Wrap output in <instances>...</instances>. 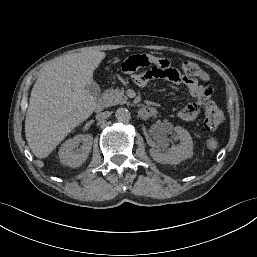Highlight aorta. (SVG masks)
Listing matches in <instances>:
<instances>
[{
	"label": "aorta",
	"mask_w": 257,
	"mask_h": 257,
	"mask_svg": "<svg viewBox=\"0 0 257 257\" xmlns=\"http://www.w3.org/2000/svg\"><path fill=\"white\" fill-rule=\"evenodd\" d=\"M115 116L120 122H129L131 119V114L126 108H118L116 110Z\"/></svg>",
	"instance_id": "1"
}]
</instances>
